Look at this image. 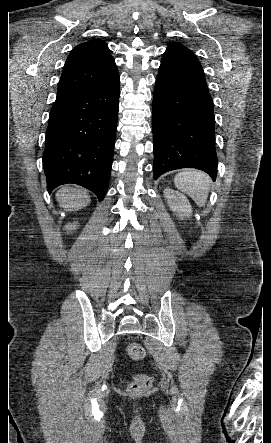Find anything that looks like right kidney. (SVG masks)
Instances as JSON below:
<instances>
[{
  "label": "right kidney",
  "instance_id": "obj_1",
  "mask_svg": "<svg viewBox=\"0 0 271 443\" xmlns=\"http://www.w3.org/2000/svg\"><path fill=\"white\" fill-rule=\"evenodd\" d=\"M65 229H77V225H65Z\"/></svg>",
  "mask_w": 271,
  "mask_h": 443
}]
</instances>
